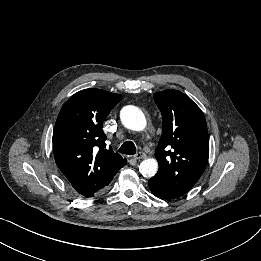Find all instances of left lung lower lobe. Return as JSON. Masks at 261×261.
I'll return each instance as SVG.
<instances>
[{"label":"left lung lower lobe","mask_w":261,"mask_h":261,"mask_svg":"<svg viewBox=\"0 0 261 261\" xmlns=\"http://www.w3.org/2000/svg\"><path fill=\"white\" fill-rule=\"evenodd\" d=\"M151 192L163 199H174L180 197L179 195L168 190L160 181L152 177L149 182Z\"/></svg>","instance_id":"obj_1"}]
</instances>
